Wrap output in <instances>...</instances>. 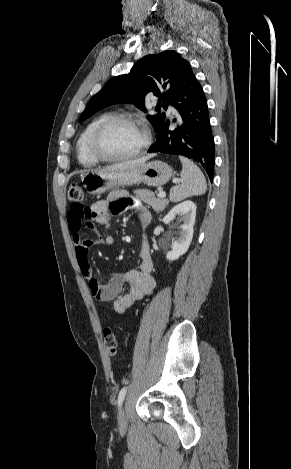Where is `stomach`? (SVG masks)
<instances>
[{
  "label": "stomach",
  "instance_id": "1",
  "mask_svg": "<svg viewBox=\"0 0 291 469\" xmlns=\"http://www.w3.org/2000/svg\"><path fill=\"white\" fill-rule=\"evenodd\" d=\"M173 170L165 162L154 160L140 166L114 171H91L82 175L85 189L91 195H100L116 188L146 183L162 186L172 177Z\"/></svg>",
  "mask_w": 291,
  "mask_h": 469
}]
</instances>
